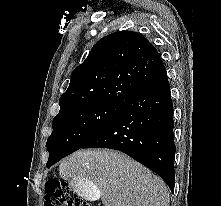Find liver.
<instances>
[{
  "instance_id": "1",
  "label": "liver",
  "mask_w": 221,
  "mask_h": 206,
  "mask_svg": "<svg viewBox=\"0 0 221 206\" xmlns=\"http://www.w3.org/2000/svg\"><path fill=\"white\" fill-rule=\"evenodd\" d=\"M59 174L94 185L105 206H169L163 180L119 151L79 150L61 162Z\"/></svg>"
}]
</instances>
